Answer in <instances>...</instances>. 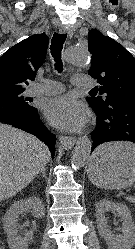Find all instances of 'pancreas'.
<instances>
[{"label":"pancreas","mask_w":135,"mask_h":249,"mask_svg":"<svg viewBox=\"0 0 135 249\" xmlns=\"http://www.w3.org/2000/svg\"><path fill=\"white\" fill-rule=\"evenodd\" d=\"M129 201H131V202H135V199L129 198Z\"/></svg>","instance_id":"cf45deb5"}]
</instances>
